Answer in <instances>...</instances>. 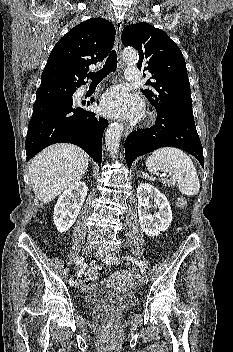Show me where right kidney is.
Masks as SVG:
<instances>
[{
    "label": "right kidney",
    "mask_w": 233,
    "mask_h": 352,
    "mask_svg": "<svg viewBox=\"0 0 233 352\" xmlns=\"http://www.w3.org/2000/svg\"><path fill=\"white\" fill-rule=\"evenodd\" d=\"M87 186L84 182H77L60 195L54 207V224L62 233L74 224L87 195Z\"/></svg>",
    "instance_id": "right-kidney-1"
}]
</instances>
